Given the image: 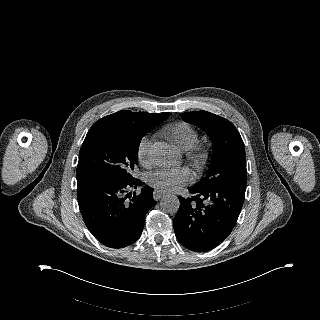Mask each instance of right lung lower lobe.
<instances>
[{
  "label": "right lung lower lobe",
  "mask_w": 320,
  "mask_h": 320,
  "mask_svg": "<svg viewBox=\"0 0 320 320\" xmlns=\"http://www.w3.org/2000/svg\"><path fill=\"white\" fill-rule=\"evenodd\" d=\"M144 183L124 181L98 170L77 171V198L83 220L92 235L111 248H123L141 235L144 219L156 204L153 189L129 192Z\"/></svg>",
  "instance_id": "1"
}]
</instances>
